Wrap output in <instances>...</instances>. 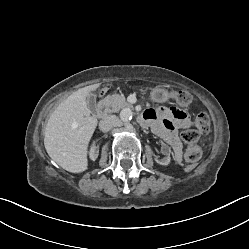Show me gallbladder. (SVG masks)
Returning <instances> with one entry per match:
<instances>
[{
	"label": "gallbladder",
	"mask_w": 249,
	"mask_h": 249,
	"mask_svg": "<svg viewBox=\"0 0 249 249\" xmlns=\"http://www.w3.org/2000/svg\"><path fill=\"white\" fill-rule=\"evenodd\" d=\"M87 104H88V107L90 108V110L92 112H94L96 110V96L92 93H90L88 96H87Z\"/></svg>",
	"instance_id": "gallbladder-1"
}]
</instances>
